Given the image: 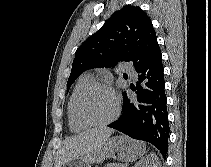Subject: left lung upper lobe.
<instances>
[{
    "label": "left lung upper lobe",
    "mask_w": 211,
    "mask_h": 167,
    "mask_svg": "<svg viewBox=\"0 0 211 167\" xmlns=\"http://www.w3.org/2000/svg\"><path fill=\"white\" fill-rule=\"evenodd\" d=\"M158 47L150 17L139 7L116 11L102 28L76 51L67 91L77 77L92 68L114 67L120 61L142 65Z\"/></svg>",
    "instance_id": "left-lung-upper-lobe-1"
}]
</instances>
